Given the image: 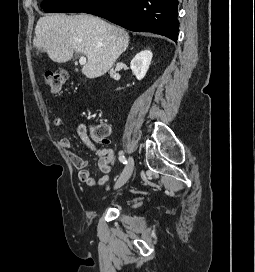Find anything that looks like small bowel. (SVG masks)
Returning <instances> with one entry per match:
<instances>
[{"label":"small bowel","instance_id":"c3829d8e","mask_svg":"<svg viewBox=\"0 0 255 272\" xmlns=\"http://www.w3.org/2000/svg\"><path fill=\"white\" fill-rule=\"evenodd\" d=\"M60 123L61 119L56 118L55 124L59 125ZM77 133L86 148L99 157L98 167L105 175L100 178L93 177L88 162L74 151L71 141L68 138L61 139L60 146L69 161L78 170V177L81 182L92 187L102 186L108 181V174L113 170L114 152L111 148L98 147L90 138L85 125H80Z\"/></svg>","mask_w":255,"mask_h":272}]
</instances>
